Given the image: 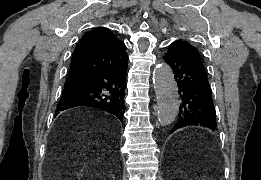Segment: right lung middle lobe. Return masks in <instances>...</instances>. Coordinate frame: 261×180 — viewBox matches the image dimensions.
Returning a JSON list of instances; mask_svg holds the SVG:
<instances>
[{"label": "right lung middle lobe", "instance_id": "obj_1", "mask_svg": "<svg viewBox=\"0 0 261 180\" xmlns=\"http://www.w3.org/2000/svg\"><path fill=\"white\" fill-rule=\"evenodd\" d=\"M82 85H84V83H82V82H66L64 85L63 94L77 90V89L81 88Z\"/></svg>", "mask_w": 261, "mask_h": 180}]
</instances>
